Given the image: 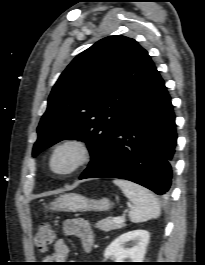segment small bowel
Returning a JSON list of instances; mask_svg holds the SVG:
<instances>
[{
	"instance_id": "c3829d8e",
	"label": "small bowel",
	"mask_w": 205,
	"mask_h": 265,
	"mask_svg": "<svg viewBox=\"0 0 205 265\" xmlns=\"http://www.w3.org/2000/svg\"><path fill=\"white\" fill-rule=\"evenodd\" d=\"M63 233L66 236H76L81 239L85 252H91L94 246V234L90 223L83 218L68 219L63 223ZM69 246L64 239H58L54 252L45 257L47 263H62L67 258Z\"/></svg>"
}]
</instances>
